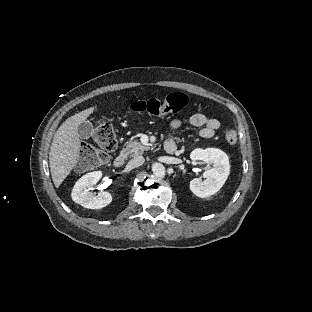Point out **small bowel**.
<instances>
[{
  "label": "small bowel",
  "instance_id": "1",
  "mask_svg": "<svg viewBox=\"0 0 312 312\" xmlns=\"http://www.w3.org/2000/svg\"><path fill=\"white\" fill-rule=\"evenodd\" d=\"M185 125L201 127L200 135L206 139L213 137L215 132L220 128L218 119L208 117L204 114L195 113L185 117H176L170 121L171 137L167 142L174 143L176 131Z\"/></svg>",
  "mask_w": 312,
  "mask_h": 312
}]
</instances>
